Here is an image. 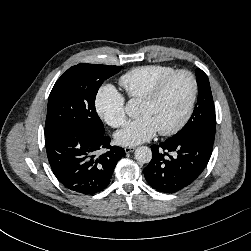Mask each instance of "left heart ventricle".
I'll return each instance as SVG.
<instances>
[{
    "mask_svg": "<svg viewBox=\"0 0 251 251\" xmlns=\"http://www.w3.org/2000/svg\"><path fill=\"white\" fill-rule=\"evenodd\" d=\"M192 84L186 75L175 77L151 104L140 102L138 115L148 116L157 131L173 127L182 118L190 100Z\"/></svg>",
    "mask_w": 251,
    "mask_h": 251,
    "instance_id": "obj_1",
    "label": "left heart ventricle"
}]
</instances>
